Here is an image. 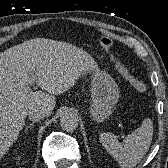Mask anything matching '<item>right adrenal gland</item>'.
Wrapping results in <instances>:
<instances>
[{
  "label": "right adrenal gland",
  "instance_id": "1",
  "mask_svg": "<svg viewBox=\"0 0 168 168\" xmlns=\"http://www.w3.org/2000/svg\"><path fill=\"white\" fill-rule=\"evenodd\" d=\"M35 122L30 123L28 126L25 128V133H27L28 129L34 125Z\"/></svg>",
  "mask_w": 168,
  "mask_h": 168
}]
</instances>
